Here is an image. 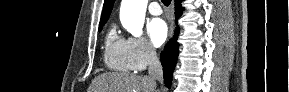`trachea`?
<instances>
[{"label":"trachea","instance_id":"obj_1","mask_svg":"<svg viewBox=\"0 0 289 92\" xmlns=\"http://www.w3.org/2000/svg\"><path fill=\"white\" fill-rule=\"evenodd\" d=\"M161 1L165 6H169L171 3V0H161Z\"/></svg>","mask_w":289,"mask_h":92}]
</instances>
